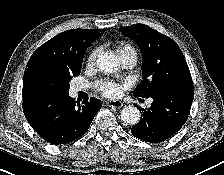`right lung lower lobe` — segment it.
<instances>
[{
  "instance_id": "1",
  "label": "right lung lower lobe",
  "mask_w": 224,
  "mask_h": 175,
  "mask_svg": "<svg viewBox=\"0 0 224 175\" xmlns=\"http://www.w3.org/2000/svg\"><path fill=\"white\" fill-rule=\"evenodd\" d=\"M23 111L33 129L51 144L72 142L88 130L100 100L77 103L68 92L35 91L22 95Z\"/></svg>"
}]
</instances>
